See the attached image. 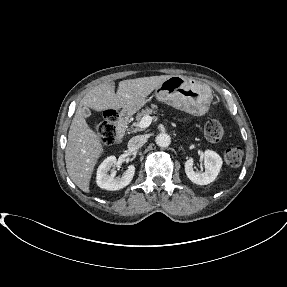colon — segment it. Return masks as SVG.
<instances>
[{"label": "colon", "instance_id": "1", "mask_svg": "<svg viewBox=\"0 0 287 287\" xmlns=\"http://www.w3.org/2000/svg\"><path fill=\"white\" fill-rule=\"evenodd\" d=\"M117 113L114 110H107L96 123V131L101 142L105 145L110 144L115 136V123ZM206 138L211 142H218L223 138L224 130L221 123L217 120H210L204 127ZM224 158L229 166L240 165L243 158V151L240 147H230L226 149Z\"/></svg>", "mask_w": 287, "mask_h": 287}]
</instances>
